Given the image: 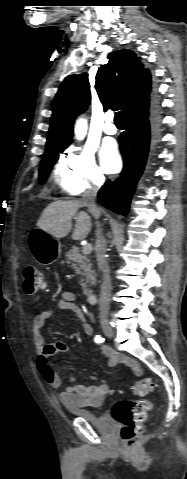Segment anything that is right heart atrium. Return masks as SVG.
I'll use <instances>...</instances> for the list:
<instances>
[{"instance_id":"obj_1","label":"right heart atrium","mask_w":187,"mask_h":479,"mask_svg":"<svg viewBox=\"0 0 187 479\" xmlns=\"http://www.w3.org/2000/svg\"><path fill=\"white\" fill-rule=\"evenodd\" d=\"M55 177L61 191L78 196L99 189L106 175L93 150L70 148L61 155L55 166Z\"/></svg>"}]
</instances>
